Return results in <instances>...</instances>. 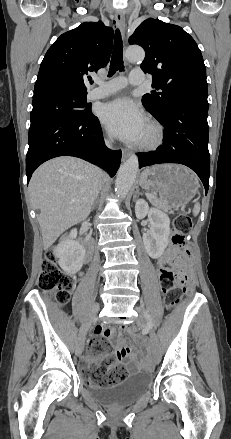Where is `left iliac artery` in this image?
Here are the masks:
<instances>
[{
	"instance_id": "obj_1",
	"label": "left iliac artery",
	"mask_w": 231,
	"mask_h": 439,
	"mask_svg": "<svg viewBox=\"0 0 231 439\" xmlns=\"http://www.w3.org/2000/svg\"><path fill=\"white\" fill-rule=\"evenodd\" d=\"M149 323H150V325H151V319L149 318Z\"/></svg>"
}]
</instances>
